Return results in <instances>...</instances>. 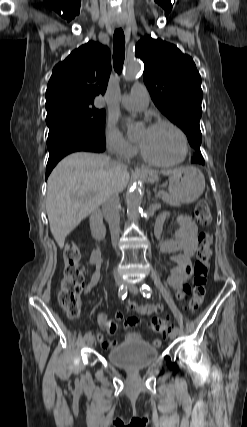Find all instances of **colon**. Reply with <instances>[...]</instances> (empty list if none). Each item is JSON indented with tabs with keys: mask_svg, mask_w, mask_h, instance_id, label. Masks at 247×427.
<instances>
[{
	"mask_svg": "<svg viewBox=\"0 0 247 427\" xmlns=\"http://www.w3.org/2000/svg\"><path fill=\"white\" fill-rule=\"evenodd\" d=\"M194 216L204 227L210 225L212 220L211 210L205 200H200L195 207ZM200 247L197 252L193 268V281L190 288L191 296L188 302V311L195 313L203 304L209 261L212 255V236L208 231H203L199 236ZM80 249L75 242H68L63 251L64 271L58 294L59 305L70 318H77L80 314V294L83 285V268L80 265ZM151 329L160 334H165L171 329L169 318L154 317L150 321Z\"/></svg>",
	"mask_w": 247,
	"mask_h": 427,
	"instance_id": "1",
	"label": "colon"
}]
</instances>
